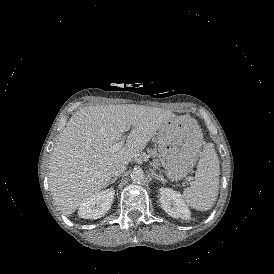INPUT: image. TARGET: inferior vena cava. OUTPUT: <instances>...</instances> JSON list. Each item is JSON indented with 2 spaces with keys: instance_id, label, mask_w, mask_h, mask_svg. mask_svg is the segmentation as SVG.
<instances>
[{
  "instance_id": "1",
  "label": "inferior vena cava",
  "mask_w": 274,
  "mask_h": 274,
  "mask_svg": "<svg viewBox=\"0 0 274 274\" xmlns=\"http://www.w3.org/2000/svg\"><path fill=\"white\" fill-rule=\"evenodd\" d=\"M126 171V165L119 164L113 170V178H118L122 176Z\"/></svg>"
}]
</instances>
